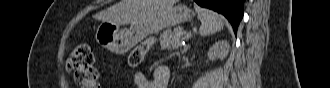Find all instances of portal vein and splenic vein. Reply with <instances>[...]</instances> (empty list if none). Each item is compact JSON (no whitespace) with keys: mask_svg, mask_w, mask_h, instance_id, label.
<instances>
[{"mask_svg":"<svg viewBox=\"0 0 330 88\" xmlns=\"http://www.w3.org/2000/svg\"><path fill=\"white\" fill-rule=\"evenodd\" d=\"M190 37H191V35H189V34L186 35V38H190Z\"/></svg>","mask_w":330,"mask_h":88,"instance_id":"portal-vein-and-splenic-vein-1","label":"portal vein and splenic vein"}]
</instances>
